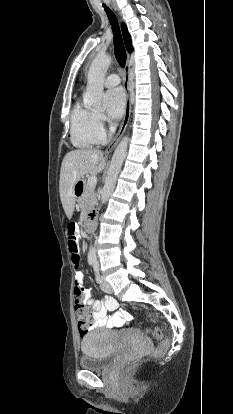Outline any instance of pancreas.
<instances>
[{
	"mask_svg": "<svg viewBox=\"0 0 233 414\" xmlns=\"http://www.w3.org/2000/svg\"><path fill=\"white\" fill-rule=\"evenodd\" d=\"M94 190L95 187L90 186L88 182H85L83 195L79 199L81 210L85 215L91 208H93L94 204L96 203Z\"/></svg>",
	"mask_w": 233,
	"mask_h": 414,
	"instance_id": "1",
	"label": "pancreas"
}]
</instances>
